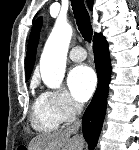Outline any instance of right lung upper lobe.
Returning <instances> with one entry per match:
<instances>
[{"label": "right lung upper lobe", "mask_w": 139, "mask_h": 150, "mask_svg": "<svg viewBox=\"0 0 139 150\" xmlns=\"http://www.w3.org/2000/svg\"><path fill=\"white\" fill-rule=\"evenodd\" d=\"M87 4L90 9H92L93 6V0H87ZM42 19L39 18L33 27L29 44H28V49H27V55H26V79L28 80L30 78L34 63H35V58H36V48L38 45V40H39V31L41 27Z\"/></svg>", "instance_id": "obj_1"}]
</instances>
